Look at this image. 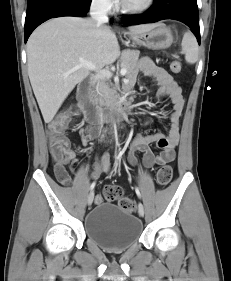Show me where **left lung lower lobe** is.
I'll use <instances>...</instances> for the list:
<instances>
[{
    "instance_id": "0a47b994",
    "label": "left lung lower lobe",
    "mask_w": 231,
    "mask_h": 281,
    "mask_svg": "<svg viewBox=\"0 0 231 281\" xmlns=\"http://www.w3.org/2000/svg\"><path fill=\"white\" fill-rule=\"evenodd\" d=\"M163 19H174L189 26L200 44L199 16L196 0H157L153 8H150L141 16L127 15L122 18L126 26L132 24L153 23Z\"/></svg>"
}]
</instances>
